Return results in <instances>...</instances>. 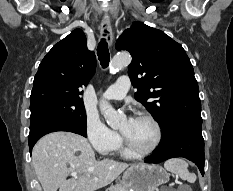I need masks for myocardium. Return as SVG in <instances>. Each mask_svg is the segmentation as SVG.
Wrapping results in <instances>:
<instances>
[{"instance_id": "1", "label": "myocardium", "mask_w": 233, "mask_h": 191, "mask_svg": "<svg viewBox=\"0 0 233 191\" xmlns=\"http://www.w3.org/2000/svg\"><path fill=\"white\" fill-rule=\"evenodd\" d=\"M136 119H145V120L150 121L153 124L155 131H156V138H155L153 145L146 150H141V149H138L137 147H135L128 140V138L122 133L123 142H124L126 149L136 156L143 157V156H147V155H150L151 153H153L160 145L161 140H162V128H161L159 121L154 116H152L148 113H141V114L136 116Z\"/></svg>"}]
</instances>
